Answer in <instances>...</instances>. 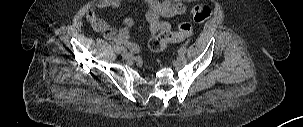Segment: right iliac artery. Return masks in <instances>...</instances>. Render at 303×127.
<instances>
[{
  "label": "right iliac artery",
  "instance_id": "1",
  "mask_svg": "<svg viewBox=\"0 0 303 127\" xmlns=\"http://www.w3.org/2000/svg\"><path fill=\"white\" fill-rule=\"evenodd\" d=\"M113 49L116 53H121V52L125 51L124 47H119L117 45H113Z\"/></svg>",
  "mask_w": 303,
  "mask_h": 127
}]
</instances>
